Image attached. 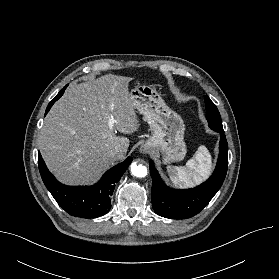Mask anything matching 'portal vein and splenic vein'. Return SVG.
<instances>
[{"label": "portal vein and splenic vein", "mask_w": 279, "mask_h": 279, "mask_svg": "<svg viewBox=\"0 0 279 279\" xmlns=\"http://www.w3.org/2000/svg\"><path fill=\"white\" fill-rule=\"evenodd\" d=\"M116 121L113 119V118H111L110 120H109V128L110 129H113V127H114V123H115Z\"/></svg>", "instance_id": "portal-vein-and-splenic-vein-1"}]
</instances>
